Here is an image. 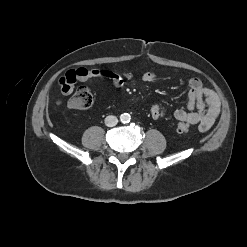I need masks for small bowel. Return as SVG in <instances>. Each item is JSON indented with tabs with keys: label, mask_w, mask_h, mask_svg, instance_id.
I'll use <instances>...</instances> for the list:
<instances>
[{
	"label": "small bowel",
	"mask_w": 247,
	"mask_h": 247,
	"mask_svg": "<svg viewBox=\"0 0 247 247\" xmlns=\"http://www.w3.org/2000/svg\"><path fill=\"white\" fill-rule=\"evenodd\" d=\"M92 78H104L112 82L115 87H122L126 80L133 79L132 73H116L106 68L87 69L84 67L75 70H69L60 78V91L63 95H70L77 82H85ZM142 79L146 83H154L158 76L154 72H146ZM189 102L188 111L176 109L173 117L189 125L197 126L200 131L209 130L215 123L220 113V101L214 91L204 87L202 81L198 78H191L188 81ZM68 103L67 109H72ZM150 113L154 119H160L165 116L164 109L157 103L150 106Z\"/></svg>",
	"instance_id": "1"
}]
</instances>
